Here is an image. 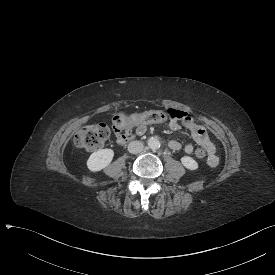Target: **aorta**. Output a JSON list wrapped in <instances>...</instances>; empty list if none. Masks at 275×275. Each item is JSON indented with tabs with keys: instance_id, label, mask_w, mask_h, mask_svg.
I'll use <instances>...</instances> for the list:
<instances>
[{
	"instance_id": "1",
	"label": "aorta",
	"mask_w": 275,
	"mask_h": 275,
	"mask_svg": "<svg viewBox=\"0 0 275 275\" xmlns=\"http://www.w3.org/2000/svg\"><path fill=\"white\" fill-rule=\"evenodd\" d=\"M147 145L149 148L155 150L158 149L160 147V141L158 140L157 137L153 136L150 137L147 141Z\"/></svg>"
}]
</instances>
